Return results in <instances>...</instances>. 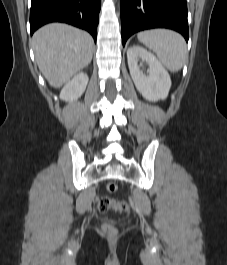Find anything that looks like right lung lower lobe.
<instances>
[{
    "label": "right lung lower lobe",
    "mask_w": 227,
    "mask_h": 265,
    "mask_svg": "<svg viewBox=\"0 0 227 265\" xmlns=\"http://www.w3.org/2000/svg\"><path fill=\"white\" fill-rule=\"evenodd\" d=\"M101 0H32L31 35L49 22H65L87 30L96 41Z\"/></svg>",
    "instance_id": "right-lung-lower-lobe-1"
}]
</instances>
